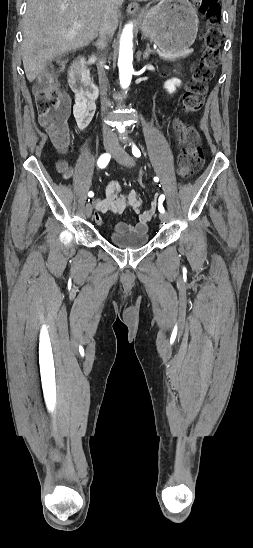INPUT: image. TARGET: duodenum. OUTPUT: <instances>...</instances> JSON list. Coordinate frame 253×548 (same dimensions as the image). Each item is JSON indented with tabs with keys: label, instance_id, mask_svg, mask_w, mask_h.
Listing matches in <instances>:
<instances>
[{
	"label": "duodenum",
	"instance_id": "410a0bca",
	"mask_svg": "<svg viewBox=\"0 0 253 548\" xmlns=\"http://www.w3.org/2000/svg\"><path fill=\"white\" fill-rule=\"evenodd\" d=\"M69 81L77 96L90 101L97 99L99 90L90 78L84 56L78 57L72 63L69 71Z\"/></svg>",
	"mask_w": 253,
	"mask_h": 548
}]
</instances>
